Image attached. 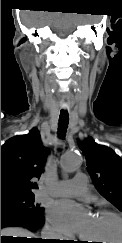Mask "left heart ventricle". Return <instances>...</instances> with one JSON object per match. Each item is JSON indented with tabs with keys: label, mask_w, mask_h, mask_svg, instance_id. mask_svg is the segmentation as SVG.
Here are the masks:
<instances>
[{
	"label": "left heart ventricle",
	"mask_w": 122,
	"mask_h": 243,
	"mask_svg": "<svg viewBox=\"0 0 122 243\" xmlns=\"http://www.w3.org/2000/svg\"><path fill=\"white\" fill-rule=\"evenodd\" d=\"M82 237L86 240H100L102 243H120L122 229L115 218L106 215H94L90 217Z\"/></svg>",
	"instance_id": "obj_1"
}]
</instances>
